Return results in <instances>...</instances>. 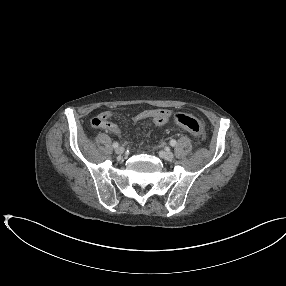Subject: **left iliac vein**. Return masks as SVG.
<instances>
[{"mask_svg": "<svg viewBox=\"0 0 286 286\" xmlns=\"http://www.w3.org/2000/svg\"><path fill=\"white\" fill-rule=\"evenodd\" d=\"M160 157L167 161H171L174 158V154L171 151H162L160 152Z\"/></svg>", "mask_w": 286, "mask_h": 286, "instance_id": "4c4485c4", "label": "left iliac vein"}]
</instances>
